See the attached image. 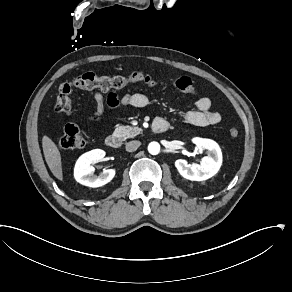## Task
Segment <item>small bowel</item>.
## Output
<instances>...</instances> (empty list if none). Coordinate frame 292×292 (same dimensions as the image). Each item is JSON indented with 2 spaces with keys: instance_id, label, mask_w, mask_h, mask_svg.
<instances>
[{
  "instance_id": "c3829d8e",
  "label": "small bowel",
  "mask_w": 292,
  "mask_h": 292,
  "mask_svg": "<svg viewBox=\"0 0 292 292\" xmlns=\"http://www.w3.org/2000/svg\"><path fill=\"white\" fill-rule=\"evenodd\" d=\"M94 110L89 113L87 119L100 122L104 118L106 109H118L120 107L132 106L135 108H143L148 105V97L142 93H127L119 96L114 91L104 93L100 90L93 92ZM221 114L212 110V102L209 98L203 97L197 101L196 109L185 113L186 122L197 125L207 126L216 125L221 121Z\"/></svg>"
}]
</instances>
